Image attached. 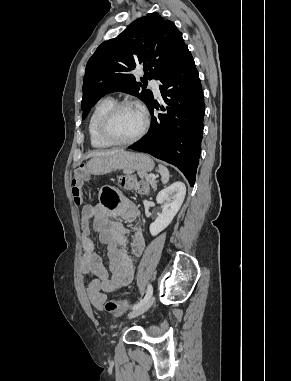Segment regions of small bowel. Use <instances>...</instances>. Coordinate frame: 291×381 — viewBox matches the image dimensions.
I'll return each mask as SVG.
<instances>
[{"label": "small bowel", "mask_w": 291, "mask_h": 381, "mask_svg": "<svg viewBox=\"0 0 291 381\" xmlns=\"http://www.w3.org/2000/svg\"><path fill=\"white\" fill-rule=\"evenodd\" d=\"M100 203L85 205L81 211L82 249L80 269L83 276L90 278L87 296L92 306L102 310L107 294L130 284L134 277V263L126 251L127 236L131 234V251L139 257L145 248V241L139 224L140 213L136 206L127 198L119 204L107 205L104 199H115L116 194L111 189H105ZM112 217H120L132 224L127 229L120 222L112 221ZM91 228L99 235L101 243L107 246L108 268L102 262L95 250L91 238Z\"/></svg>", "instance_id": "obj_1"}]
</instances>
